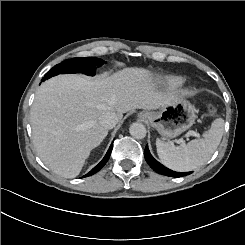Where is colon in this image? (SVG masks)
<instances>
[{
    "label": "colon",
    "instance_id": "1",
    "mask_svg": "<svg viewBox=\"0 0 245 245\" xmlns=\"http://www.w3.org/2000/svg\"><path fill=\"white\" fill-rule=\"evenodd\" d=\"M217 107L215 106V105H210L209 107H208V114L210 115V116H215L216 114H217Z\"/></svg>",
    "mask_w": 245,
    "mask_h": 245
}]
</instances>
